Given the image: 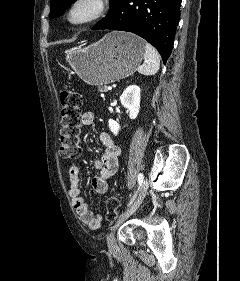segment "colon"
Masks as SVG:
<instances>
[{
    "label": "colon",
    "mask_w": 240,
    "mask_h": 281,
    "mask_svg": "<svg viewBox=\"0 0 240 281\" xmlns=\"http://www.w3.org/2000/svg\"><path fill=\"white\" fill-rule=\"evenodd\" d=\"M61 102V144L60 155L63 159L74 161L81 154V95L70 86H66L60 92ZM119 200L117 196L109 198L106 204V212L109 220L115 218L119 212Z\"/></svg>",
    "instance_id": "obj_1"
}]
</instances>
